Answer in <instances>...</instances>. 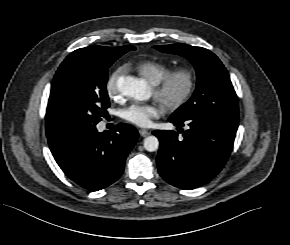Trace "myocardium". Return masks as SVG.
<instances>
[{"instance_id":"myocardium-1","label":"myocardium","mask_w":290,"mask_h":245,"mask_svg":"<svg viewBox=\"0 0 290 245\" xmlns=\"http://www.w3.org/2000/svg\"><path fill=\"white\" fill-rule=\"evenodd\" d=\"M183 81L180 93L173 94L172 88L177 80ZM197 76L188 68H179L170 71L160 82L154 85V95L169 110H175L183 106L195 91Z\"/></svg>"}]
</instances>
